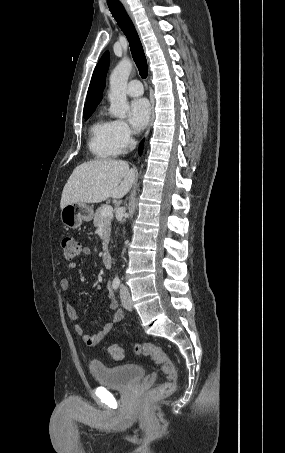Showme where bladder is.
I'll list each match as a JSON object with an SVG mask.
<instances>
[{
	"instance_id": "1",
	"label": "bladder",
	"mask_w": 285,
	"mask_h": 453,
	"mask_svg": "<svg viewBox=\"0 0 285 453\" xmlns=\"http://www.w3.org/2000/svg\"><path fill=\"white\" fill-rule=\"evenodd\" d=\"M94 380L105 387L125 389L145 376V369L139 364L107 366L100 362L89 365Z\"/></svg>"
}]
</instances>
